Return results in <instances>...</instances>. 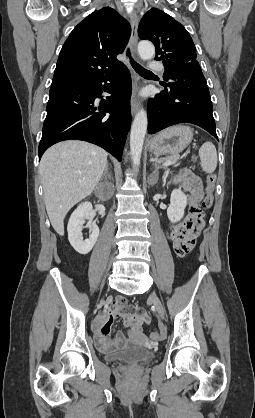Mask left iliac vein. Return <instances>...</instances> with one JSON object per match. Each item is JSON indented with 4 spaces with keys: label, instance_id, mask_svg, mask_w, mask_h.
Returning a JSON list of instances; mask_svg holds the SVG:
<instances>
[{
    "label": "left iliac vein",
    "instance_id": "1",
    "mask_svg": "<svg viewBox=\"0 0 255 418\" xmlns=\"http://www.w3.org/2000/svg\"><path fill=\"white\" fill-rule=\"evenodd\" d=\"M150 299H151L159 317L161 319H164L165 318V310H164V307H163L160 299L156 296V294H151Z\"/></svg>",
    "mask_w": 255,
    "mask_h": 418
}]
</instances>
